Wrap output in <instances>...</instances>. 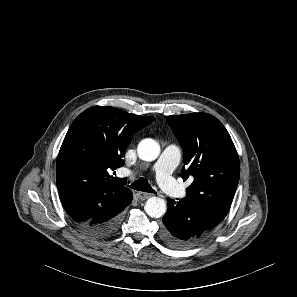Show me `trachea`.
Masks as SVG:
<instances>
[{
  "label": "trachea",
  "instance_id": "obj_1",
  "mask_svg": "<svg viewBox=\"0 0 297 297\" xmlns=\"http://www.w3.org/2000/svg\"><path fill=\"white\" fill-rule=\"evenodd\" d=\"M129 187L134 190H138V191L155 193V191L152 189V187L148 183L147 179H145V178L138 179L137 181L132 183Z\"/></svg>",
  "mask_w": 297,
  "mask_h": 297
}]
</instances>
